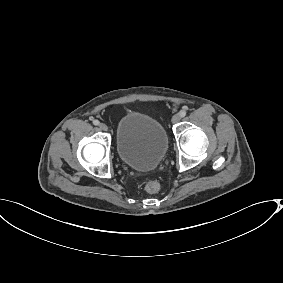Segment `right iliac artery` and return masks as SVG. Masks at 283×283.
<instances>
[{
    "instance_id": "obj_1",
    "label": "right iliac artery",
    "mask_w": 283,
    "mask_h": 283,
    "mask_svg": "<svg viewBox=\"0 0 283 283\" xmlns=\"http://www.w3.org/2000/svg\"><path fill=\"white\" fill-rule=\"evenodd\" d=\"M93 124H94V125H99L100 122H99L98 120H94V121H93Z\"/></svg>"
}]
</instances>
